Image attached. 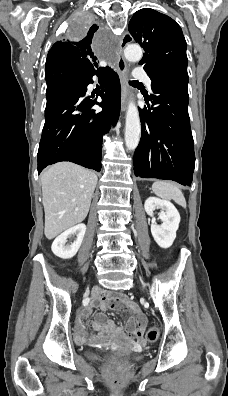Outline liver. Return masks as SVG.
<instances>
[{
    "label": "liver",
    "instance_id": "1",
    "mask_svg": "<svg viewBox=\"0 0 228 396\" xmlns=\"http://www.w3.org/2000/svg\"><path fill=\"white\" fill-rule=\"evenodd\" d=\"M94 172L71 162H59L41 176L45 212L44 234L51 240L87 216L97 184Z\"/></svg>",
    "mask_w": 228,
    "mask_h": 396
}]
</instances>
